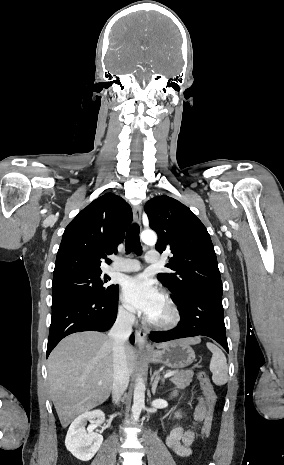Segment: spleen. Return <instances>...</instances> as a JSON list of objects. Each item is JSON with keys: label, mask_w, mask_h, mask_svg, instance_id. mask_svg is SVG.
<instances>
[{"label": "spleen", "mask_w": 284, "mask_h": 465, "mask_svg": "<svg viewBox=\"0 0 284 465\" xmlns=\"http://www.w3.org/2000/svg\"><path fill=\"white\" fill-rule=\"evenodd\" d=\"M207 349L212 353L210 371L215 385H225L228 381V365L224 353L213 343H206Z\"/></svg>", "instance_id": "1"}]
</instances>
